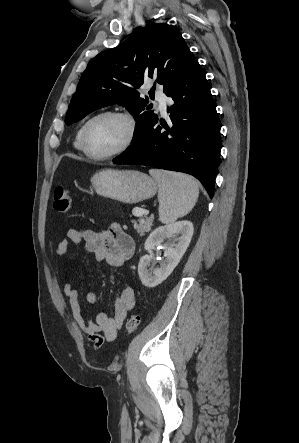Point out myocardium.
Wrapping results in <instances>:
<instances>
[{
  "label": "myocardium",
  "instance_id": "1",
  "mask_svg": "<svg viewBox=\"0 0 299 443\" xmlns=\"http://www.w3.org/2000/svg\"><path fill=\"white\" fill-rule=\"evenodd\" d=\"M106 116L117 117V118L124 120L125 123L127 124V128H128L127 136H126V139L124 140V142L122 143V145L120 147H118L117 149H115L114 151L106 153V154H102V155H97V154L92 153L87 146V130L92 122H94L95 120H97L101 117H106ZM136 132H137L136 121L131 114L124 112V111H120V110H105V111L95 114L94 116H92L90 119H88L85 122V124L83 125L82 130H81L80 145H81L82 151L89 158L94 159V160H107V159L114 158V157L124 153L133 144L135 137H136Z\"/></svg>",
  "mask_w": 299,
  "mask_h": 443
}]
</instances>
